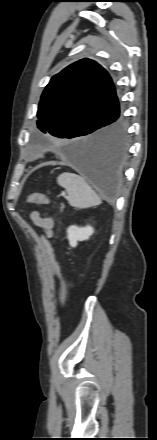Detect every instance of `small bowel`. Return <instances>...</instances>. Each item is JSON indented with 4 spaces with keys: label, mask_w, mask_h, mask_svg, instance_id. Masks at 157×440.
<instances>
[{
    "label": "small bowel",
    "mask_w": 157,
    "mask_h": 440,
    "mask_svg": "<svg viewBox=\"0 0 157 440\" xmlns=\"http://www.w3.org/2000/svg\"><path fill=\"white\" fill-rule=\"evenodd\" d=\"M31 219L34 224L38 226L41 230L45 231L49 237L52 235V228L54 224L52 218L46 215H42L37 211H33L31 214Z\"/></svg>",
    "instance_id": "small-bowel-1"
}]
</instances>
